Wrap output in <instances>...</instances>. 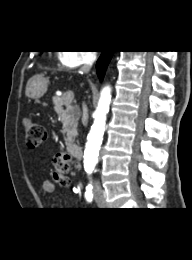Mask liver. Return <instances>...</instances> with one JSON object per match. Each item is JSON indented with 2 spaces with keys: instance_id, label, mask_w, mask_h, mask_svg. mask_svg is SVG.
Segmentation results:
<instances>
[{
  "instance_id": "1",
  "label": "liver",
  "mask_w": 192,
  "mask_h": 260,
  "mask_svg": "<svg viewBox=\"0 0 192 260\" xmlns=\"http://www.w3.org/2000/svg\"><path fill=\"white\" fill-rule=\"evenodd\" d=\"M26 95L28 96V94H27V89H26Z\"/></svg>"
}]
</instances>
